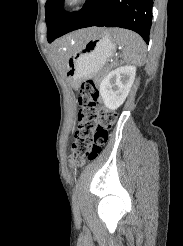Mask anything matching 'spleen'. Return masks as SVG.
Returning a JSON list of instances; mask_svg holds the SVG:
<instances>
[{
	"label": "spleen",
	"mask_w": 183,
	"mask_h": 246,
	"mask_svg": "<svg viewBox=\"0 0 183 246\" xmlns=\"http://www.w3.org/2000/svg\"><path fill=\"white\" fill-rule=\"evenodd\" d=\"M112 35L116 45L123 47V58L127 63L142 65L145 62L146 46L138 34L116 28L113 29Z\"/></svg>",
	"instance_id": "obj_1"
}]
</instances>
